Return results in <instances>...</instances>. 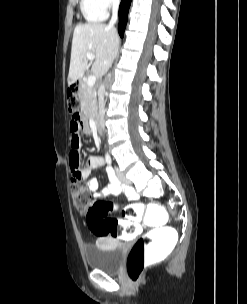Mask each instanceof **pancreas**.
<instances>
[{"label":"pancreas","instance_id":"1","mask_svg":"<svg viewBox=\"0 0 247 304\" xmlns=\"http://www.w3.org/2000/svg\"><path fill=\"white\" fill-rule=\"evenodd\" d=\"M81 85L83 89H79L78 93L81 109L86 115H95L97 110L96 90L89 87L87 82H83Z\"/></svg>","mask_w":247,"mask_h":304}]
</instances>
